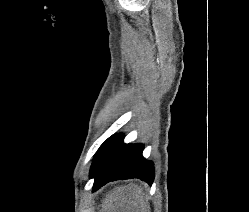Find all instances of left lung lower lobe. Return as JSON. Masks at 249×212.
I'll return each mask as SVG.
<instances>
[{"label": "left lung lower lobe", "mask_w": 249, "mask_h": 212, "mask_svg": "<svg viewBox=\"0 0 249 212\" xmlns=\"http://www.w3.org/2000/svg\"><path fill=\"white\" fill-rule=\"evenodd\" d=\"M123 134L108 138L98 149L90 170L93 192L110 181L140 178L149 185L154 181V165L142 156V144H124Z\"/></svg>", "instance_id": "0a47b994"}]
</instances>
